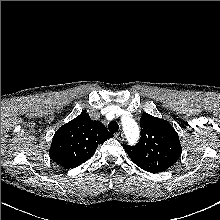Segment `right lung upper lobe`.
I'll return each mask as SVG.
<instances>
[{"mask_svg": "<svg viewBox=\"0 0 220 220\" xmlns=\"http://www.w3.org/2000/svg\"><path fill=\"white\" fill-rule=\"evenodd\" d=\"M113 137L100 121L91 120L88 113L60 127L49 150L51 159L65 168H75L94 155L97 146Z\"/></svg>", "mask_w": 220, "mask_h": 220, "instance_id": "1", "label": "right lung upper lobe"}]
</instances>
